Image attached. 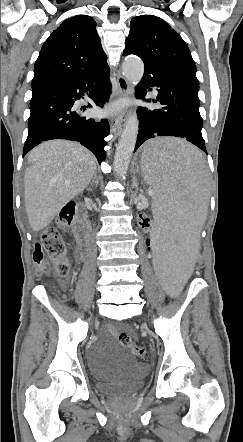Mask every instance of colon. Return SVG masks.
<instances>
[{
    "label": "colon",
    "mask_w": 243,
    "mask_h": 442,
    "mask_svg": "<svg viewBox=\"0 0 243 442\" xmlns=\"http://www.w3.org/2000/svg\"><path fill=\"white\" fill-rule=\"evenodd\" d=\"M76 206L73 203L64 204L59 212L57 225L61 228L70 227L74 221ZM156 219L153 216L145 218L144 216H137L135 223L139 227L143 228L142 246L145 253L151 252L153 246L152 236L154 230L151 228L155 224ZM68 247L65 241L62 239L59 231L56 227H48L42 234L41 241L34 247L33 261L39 272H43L48 268L46 256L54 262L56 272L59 276H66L69 272V261L67 258ZM196 263L194 265L195 270L200 271L203 268L206 257L199 254L195 257ZM120 343L129 348L133 355L141 359L143 365H152L154 358L148 356L147 350L143 346L135 345L131 336L125 332L119 334Z\"/></svg>",
    "instance_id": "5ec220e1"
}]
</instances>
